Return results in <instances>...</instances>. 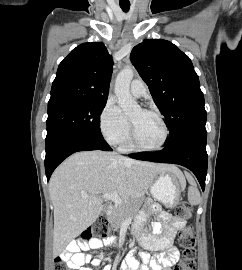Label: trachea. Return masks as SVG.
I'll list each match as a JSON object with an SVG mask.
<instances>
[{
	"instance_id": "obj_1",
	"label": "trachea",
	"mask_w": 242,
	"mask_h": 270,
	"mask_svg": "<svg viewBox=\"0 0 242 270\" xmlns=\"http://www.w3.org/2000/svg\"><path fill=\"white\" fill-rule=\"evenodd\" d=\"M120 7L122 8V10L124 12H128L129 11V8H130V6H123V5H121Z\"/></svg>"
}]
</instances>
